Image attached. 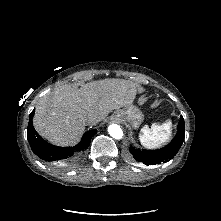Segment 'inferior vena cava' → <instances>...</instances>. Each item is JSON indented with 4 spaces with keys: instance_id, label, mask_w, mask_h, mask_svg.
<instances>
[{
    "instance_id": "inferior-vena-cava-1",
    "label": "inferior vena cava",
    "mask_w": 221,
    "mask_h": 221,
    "mask_svg": "<svg viewBox=\"0 0 221 221\" xmlns=\"http://www.w3.org/2000/svg\"><path fill=\"white\" fill-rule=\"evenodd\" d=\"M84 123L85 125H94V121L90 118L86 119Z\"/></svg>"
}]
</instances>
